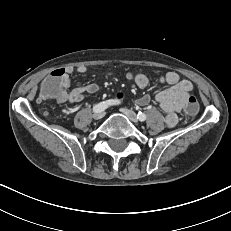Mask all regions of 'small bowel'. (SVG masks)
<instances>
[{
  "label": "small bowel",
  "mask_w": 231,
  "mask_h": 231,
  "mask_svg": "<svg viewBox=\"0 0 231 231\" xmlns=\"http://www.w3.org/2000/svg\"><path fill=\"white\" fill-rule=\"evenodd\" d=\"M60 69L64 72V77L61 79V82L58 85L61 91V96L56 99L58 102H81L89 95L95 94L99 91L100 88L95 83L70 89V76L74 73H86L88 70L86 66H66ZM127 77L129 79H133V81L139 88H146L150 83L149 78L142 73L136 75L128 74ZM158 81L162 84H167L168 87L156 93L155 101L157 102L159 107L166 113V126L169 128H173L178 123L177 113L183 112L182 107L185 99L186 97L191 95V91L193 90V84L189 80L181 79L180 76L173 71H169L160 75ZM150 101L151 98L149 95H143L136 100V103L140 106H146L150 103Z\"/></svg>",
  "instance_id": "obj_1"
}]
</instances>
